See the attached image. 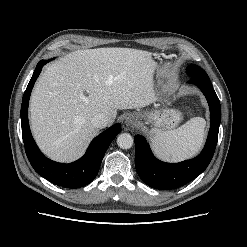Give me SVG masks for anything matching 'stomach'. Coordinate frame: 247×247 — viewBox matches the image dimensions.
<instances>
[{
  "label": "stomach",
  "mask_w": 247,
  "mask_h": 247,
  "mask_svg": "<svg viewBox=\"0 0 247 247\" xmlns=\"http://www.w3.org/2000/svg\"><path fill=\"white\" fill-rule=\"evenodd\" d=\"M142 124H152L160 130H171L181 121V112L174 109H153L138 114ZM152 138V132H150Z\"/></svg>",
  "instance_id": "obj_1"
}]
</instances>
